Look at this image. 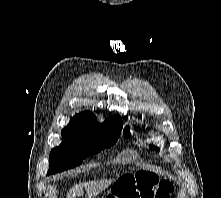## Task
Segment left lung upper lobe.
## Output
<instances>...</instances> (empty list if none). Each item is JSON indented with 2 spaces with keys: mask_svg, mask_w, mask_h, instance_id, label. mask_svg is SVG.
I'll use <instances>...</instances> for the list:
<instances>
[{
  "mask_svg": "<svg viewBox=\"0 0 221 198\" xmlns=\"http://www.w3.org/2000/svg\"><path fill=\"white\" fill-rule=\"evenodd\" d=\"M123 134H124V136L127 137V138H129V137L131 136L128 127H126V128L124 129ZM150 148H151L152 150L155 149V147H154L153 145H151ZM156 150H159V149L156 147Z\"/></svg>",
  "mask_w": 221,
  "mask_h": 198,
  "instance_id": "1",
  "label": "left lung upper lobe"
}]
</instances>
